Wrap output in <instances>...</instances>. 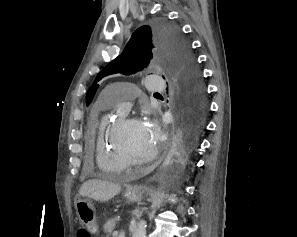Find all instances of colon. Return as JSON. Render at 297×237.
<instances>
[{"instance_id": "colon-1", "label": "colon", "mask_w": 297, "mask_h": 237, "mask_svg": "<svg viewBox=\"0 0 297 237\" xmlns=\"http://www.w3.org/2000/svg\"><path fill=\"white\" fill-rule=\"evenodd\" d=\"M76 237H90V235L87 230L80 229L77 231Z\"/></svg>"}]
</instances>
